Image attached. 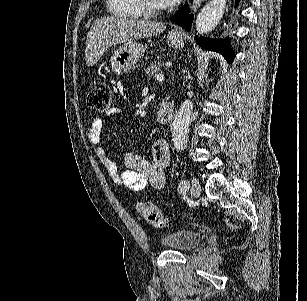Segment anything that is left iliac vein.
<instances>
[{"label": "left iliac vein", "instance_id": "1", "mask_svg": "<svg viewBox=\"0 0 307 301\" xmlns=\"http://www.w3.org/2000/svg\"><path fill=\"white\" fill-rule=\"evenodd\" d=\"M191 193L194 199H197L201 194V186L196 180H193Z\"/></svg>", "mask_w": 307, "mask_h": 301}]
</instances>
